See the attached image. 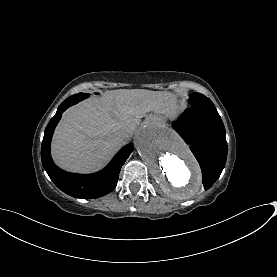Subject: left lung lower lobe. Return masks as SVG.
Segmentation results:
<instances>
[{"label":"left lung lower lobe","instance_id":"obj_1","mask_svg":"<svg viewBox=\"0 0 277 277\" xmlns=\"http://www.w3.org/2000/svg\"><path fill=\"white\" fill-rule=\"evenodd\" d=\"M174 129L190 145L202 170L204 188L219 178L227 158L225 128L218 112L186 109Z\"/></svg>","mask_w":277,"mask_h":277}]
</instances>
